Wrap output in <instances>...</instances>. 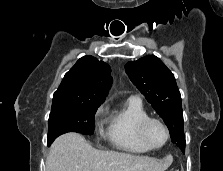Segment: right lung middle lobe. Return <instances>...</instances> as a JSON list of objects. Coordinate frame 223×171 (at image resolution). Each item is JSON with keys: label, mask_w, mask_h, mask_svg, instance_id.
Wrapping results in <instances>:
<instances>
[{"label": "right lung middle lobe", "mask_w": 223, "mask_h": 171, "mask_svg": "<svg viewBox=\"0 0 223 171\" xmlns=\"http://www.w3.org/2000/svg\"><path fill=\"white\" fill-rule=\"evenodd\" d=\"M100 105L75 100L53 102L48 121V145L67 132L91 135L95 128V112Z\"/></svg>", "instance_id": "right-lung-middle-lobe-1"}]
</instances>
